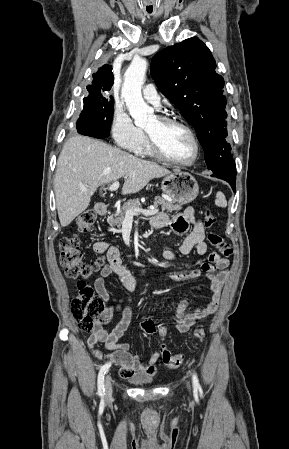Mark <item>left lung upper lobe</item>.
Instances as JSON below:
<instances>
[{"label": "left lung upper lobe", "instance_id": "1", "mask_svg": "<svg viewBox=\"0 0 289 449\" xmlns=\"http://www.w3.org/2000/svg\"><path fill=\"white\" fill-rule=\"evenodd\" d=\"M215 68L209 48L192 37L156 54L151 62V75L159 90L196 130L212 176L235 178V161L225 139L224 79Z\"/></svg>", "mask_w": 289, "mask_h": 449}]
</instances>
